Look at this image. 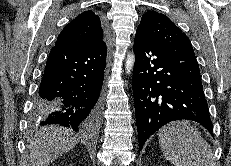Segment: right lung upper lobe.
<instances>
[{"mask_svg": "<svg viewBox=\"0 0 231 166\" xmlns=\"http://www.w3.org/2000/svg\"><path fill=\"white\" fill-rule=\"evenodd\" d=\"M105 26L91 10L78 15L59 34L54 47L72 50L96 48L105 44Z\"/></svg>", "mask_w": 231, "mask_h": 166, "instance_id": "cb5924a9", "label": "right lung upper lobe"}]
</instances>
